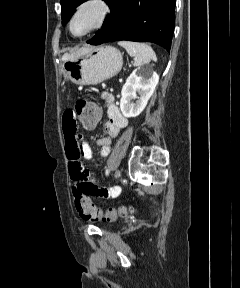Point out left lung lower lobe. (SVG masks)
Listing matches in <instances>:
<instances>
[{
  "instance_id": "left-lung-lower-lobe-1",
  "label": "left lung lower lobe",
  "mask_w": 240,
  "mask_h": 288,
  "mask_svg": "<svg viewBox=\"0 0 240 288\" xmlns=\"http://www.w3.org/2000/svg\"><path fill=\"white\" fill-rule=\"evenodd\" d=\"M176 0H112L103 27L87 43L116 40L152 42L168 52L175 25Z\"/></svg>"
}]
</instances>
